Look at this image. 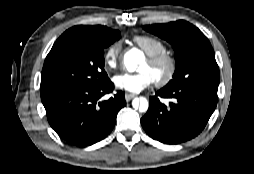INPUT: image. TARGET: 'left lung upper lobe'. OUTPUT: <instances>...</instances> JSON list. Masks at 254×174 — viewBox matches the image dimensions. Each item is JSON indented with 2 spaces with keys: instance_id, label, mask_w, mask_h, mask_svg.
Segmentation results:
<instances>
[{
  "instance_id": "1",
  "label": "left lung upper lobe",
  "mask_w": 254,
  "mask_h": 174,
  "mask_svg": "<svg viewBox=\"0 0 254 174\" xmlns=\"http://www.w3.org/2000/svg\"><path fill=\"white\" fill-rule=\"evenodd\" d=\"M144 29L173 45L176 69L173 79L164 88L179 89L192 84L219 85L220 73L213 48L197 27L180 20L147 25Z\"/></svg>"
}]
</instances>
